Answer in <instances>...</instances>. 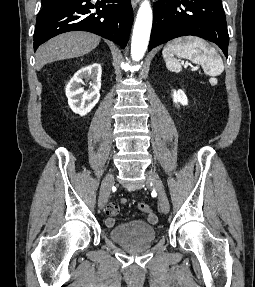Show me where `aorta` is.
<instances>
[{
  "instance_id": "aorta-1",
  "label": "aorta",
  "mask_w": 255,
  "mask_h": 287,
  "mask_svg": "<svg viewBox=\"0 0 255 287\" xmlns=\"http://www.w3.org/2000/svg\"><path fill=\"white\" fill-rule=\"evenodd\" d=\"M152 27V9L150 3L145 0L137 13L131 43V57L135 61L143 58L150 37Z\"/></svg>"
}]
</instances>
